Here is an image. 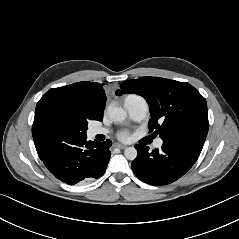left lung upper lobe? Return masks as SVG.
Returning <instances> with one entry per match:
<instances>
[{
  "label": "left lung upper lobe",
  "instance_id": "left-lung-upper-lobe-1",
  "mask_svg": "<svg viewBox=\"0 0 239 239\" xmlns=\"http://www.w3.org/2000/svg\"><path fill=\"white\" fill-rule=\"evenodd\" d=\"M124 93L146 99L151 114L150 132L159 134L162 140L202 150L209 129L207 103L192 85L160 77H141L123 82L116 95Z\"/></svg>",
  "mask_w": 239,
  "mask_h": 239
}]
</instances>
